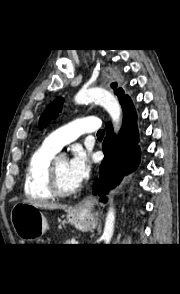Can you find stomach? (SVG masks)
<instances>
[{"label": "stomach", "mask_w": 180, "mask_h": 294, "mask_svg": "<svg viewBox=\"0 0 180 294\" xmlns=\"http://www.w3.org/2000/svg\"><path fill=\"white\" fill-rule=\"evenodd\" d=\"M69 222L81 231H88L96 226V219L86 209H68ZM11 222L17 236L24 241L39 239L47 230V220L32 204L16 203L11 210Z\"/></svg>", "instance_id": "0dacf381"}]
</instances>
